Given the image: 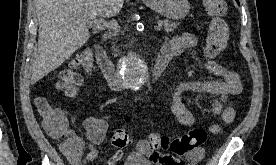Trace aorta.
<instances>
[{"mask_svg": "<svg viewBox=\"0 0 276 165\" xmlns=\"http://www.w3.org/2000/svg\"><path fill=\"white\" fill-rule=\"evenodd\" d=\"M120 74L128 87L140 88L146 78L147 67L139 57L129 55L122 62Z\"/></svg>", "mask_w": 276, "mask_h": 165, "instance_id": "762f6f07", "label": "aorta"}]
</instances>
